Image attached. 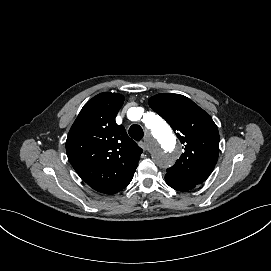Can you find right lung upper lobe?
I'll use <instances>...</instances> for the list:
<instances>
[{"mask_svg":"<svg viewBox=\"0 0 271 271\" xmlns=\"http://www.w3.org/2000/svg\"><path fill=\"white\" fill-rule=\"evenodd\" d=\"M121 94L104 92L89 100L73 123L66 152L77 174L98 192L115 194L132 180L142 149L115 117Z\"/></svg>","mask_w":271,"mask_h":271,"instance_id":"obj_1","label":"right lung upper lobe"}]
</instances>
